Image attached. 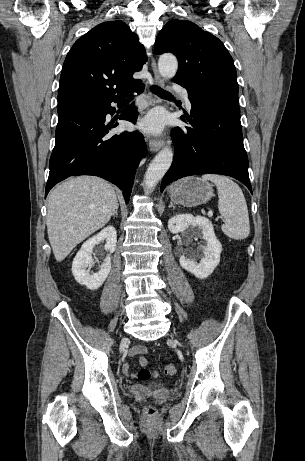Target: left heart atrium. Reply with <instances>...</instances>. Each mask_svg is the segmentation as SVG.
Returning a JSON list of instances; mask_svg holds the SVG:
<instances>
[{
    "mask_svg": "<svg viewBox=\"0 0 305 461\" xmlns=\"http://www.w3.org/2000/svg\"><path fill=\"white\" fill-rule=\"evenodd\" d=\"M164 126V118L159 113L150 114L142 123L141 128L148 133H158Z\"/></svg>",
    "mask_w": 305,
    "mask_h": 461,
    "instance_id": "obj_1",
    "label": "left heart atrium"
}]
</instances>
